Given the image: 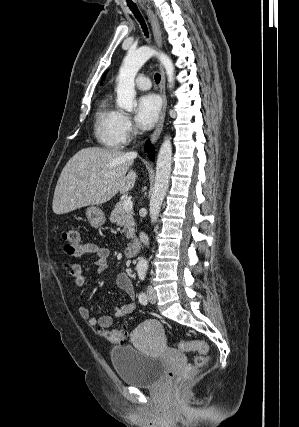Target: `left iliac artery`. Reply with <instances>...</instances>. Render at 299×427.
<instances>
[{"instance_id": "1", "label": "left iliac artery", "mask_w": 299, "mask_h": 427, "mask_svg": "<svg viewBox=\"0 0 299 427\" xmlns=\"http://www.w3.org/2000/svg\"><path fill=\"white\" fill-rule=\"evenodd\" d=\"M138 276H139V279L141 281H144L145 277H146V270L145 269H139L138 270ZM138 299H139V302L141 304H143V305L147 304V296L145 295V293H143V292L139 293Z\"/></svg>"}]
</instances>
